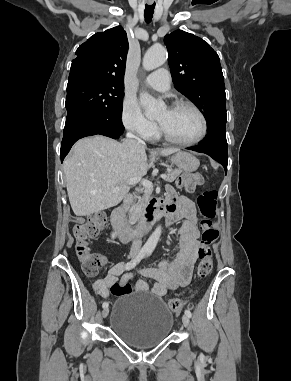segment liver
<instances>
[{"label":"liver","instance_id":"liver-1","mask_svg":"<svg viewBox=\"0 0 291 381\" xmlns=\"http://www.w3.org/2000/svg\"><path fill=\"white\" fill-rule=\"evenodd\" d=\"M177 152L174 148L151 150L148 162L146 147L134 139L119 143L97 135L79 140L63 163L74 214L89 216L118 205L129 192L131 179L146 175L158 155Z\"/></svg>","mask_w":291,"mask_h":381}]
</instances>
